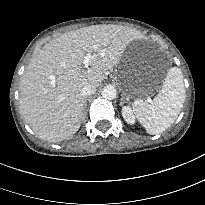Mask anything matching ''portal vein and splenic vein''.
Listing matches in <instances>:
<instances>
[{
	"mask_svg": "<svg viewBox=\"0 0 205 205\" xmlns=\"http://www.w3.org/2000/svg\"><path fill=\"white\" fill-rule=\"evenodd\" d=\"M91 59H92V55L90 53H87L84 56L83 65H84L85 68H88V65H89ZM148 100L150 101V99H148Z\"/></svg>",
	"mask_w": 205,
	"mask_h": 205,
	"instance_id": "1",
	"label": "portal vein and splenic vein"
}]
</instances>
